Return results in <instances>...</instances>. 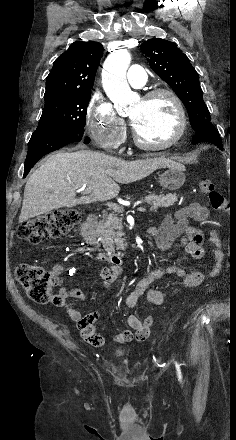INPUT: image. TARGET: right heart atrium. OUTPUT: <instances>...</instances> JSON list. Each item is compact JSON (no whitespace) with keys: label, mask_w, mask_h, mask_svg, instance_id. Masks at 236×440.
Returning <instances> with one entry per match:
<instances>
[{"label":"right heart atrium","mask_w":236,"mask_h":440,"mask_svg":"<svg viewBox=\"0 0 236 440\" xmlns=\"http://www.w3.org/2000/svg\"><path fill=\"white\" fill-rule=\"evenodd\" d=\"M86 127L95 144L115 151L125 135L124 121L100 92H95L86 108Z\"/></svg>","instance_id":"d8ad5b80"}]
</instances>
